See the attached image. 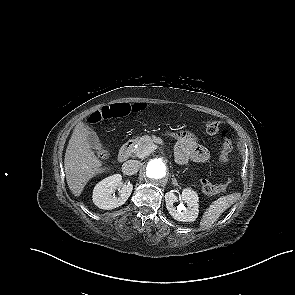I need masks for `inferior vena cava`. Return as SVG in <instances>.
Returning a JSON list of instances; mask_svg holds the SVG:
<instances>
[{"label": "inferior vena cava", "mask_w": 295, "mask_h": 295, "mask_svg": "<svg viewBox=\"0 0 295 295\" xmlns=\"http://www.w3.org/2000/svg\"><path fill=\"white\" fill-rule=\"evenodd\" d=\"M140 166H141L140 161H137V160H128L127 162H125L122 165V172L125 175L131 176V175H134L135 173L138 172Z\"/></svg>", "instance_id": "1"}]
</instances>
